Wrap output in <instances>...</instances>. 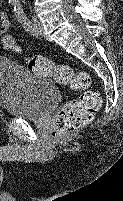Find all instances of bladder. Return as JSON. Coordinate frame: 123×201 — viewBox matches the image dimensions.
<instances>
[{
  "label": "bladder",
  "instance_id": "31cf9c89",
  "mask_svg": "<svg viewBox=\"0 0 123 201\" xmlns=\"http://www.w3.org/2000/svg\"><path fill=\"white\" fill-rule=\"evenodd\" d=\"M59 101L60 92L53 81L0 56V107L9 116L41 121Z\"/></svg>",
  "mask_w": 123,
  "mask_h": 201
}]
</instances>
